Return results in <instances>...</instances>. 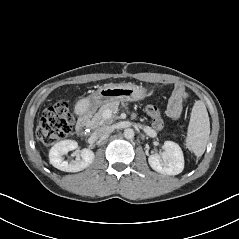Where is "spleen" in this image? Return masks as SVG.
Wrapping results in <instances>:
<instances>
[{"instance_id": "spleen-1", "label": "spleen", "mask_w": 239, "mask_h": 239, "mask_svg": "<svg viewBox=\"0 0 239 239\" xmlns=\"http://www.w3.org/2000/svg\"><path fill=\"white\" fill-rule=\"evenodd\" d=\"M210 135V121L203 101L197 100L191 112L185 146L197 157L205 152Z\"/></svg>"}]
</instances>
